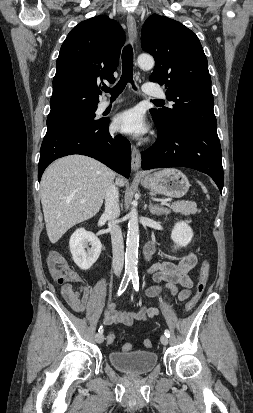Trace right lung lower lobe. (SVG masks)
<instances>
[{"instance_id": "right-lung-lower-lobe-1", "label": "right lung lower lobe", "mask_w": 253, "mask_h": 413, "mask_svg": "<svg viewBox=\"0 0 253 413\" xmlns=\"http://www.w3.org/2000/svg\"><path fill=\"white\" fill-rule=\"evenodd\" d=\"M108 127L109 120H105L95 126L47 132L40 149L38 179L52 161L71 154L95 158L128 178L131 169L130 143L121 135L111 136Z\"/></svg>"}]
</instances>
